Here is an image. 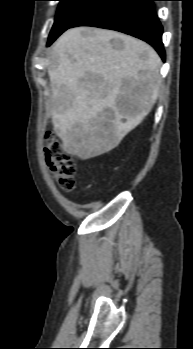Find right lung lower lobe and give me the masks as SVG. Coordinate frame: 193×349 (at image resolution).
Segmentation results:
<instances>
[{
	"label": "right lung lower lobe",
	"instance_id": "obj_1",
	"mask_svg": "<svg viewBox=\"0 0 193 349\" xmlns=\"http://www.w3.org/2000/svg\"><path fill=\"white\" fill-rule=\"evenodd\" d=\"M153 1L156 0H101L69 28L95 26L117 30L148 42L165 60L163 28Z\"/></svg>",
	"mask_w": 193,
	"mask_h": 349
}]
</instances>
